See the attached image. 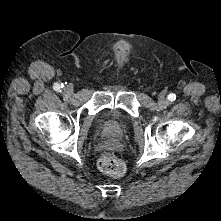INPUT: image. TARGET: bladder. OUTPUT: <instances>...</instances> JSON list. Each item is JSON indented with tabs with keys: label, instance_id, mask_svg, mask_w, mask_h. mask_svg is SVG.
<instances>
[{
	"label": "bladder",
	"instance_id": "obj_1",
	"mask_svg": "<svg viewBox=\"0 0 221 221\" xmlns=\"http://www.w3.org/2000/svg\"><path fill=\"white\" fill-rule=\"evenodd\" d=\"M101 123L103 127H105L106 129H119L120 128L119 120L115 117L113 113L105 114L101 119Z\"/></svg>",
	"mask_w": 221,
	"mask_h": 221
}]
</instances>
